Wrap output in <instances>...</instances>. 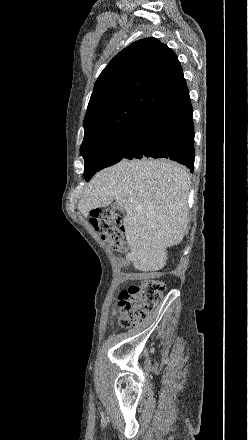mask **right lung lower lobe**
Wrapping results in <instances>:
<instances>
[{"mask_svg": "<svg viewBox=\"0 0 248 440\" xmlns=\"http://www.w3.org/2000/svg\"><path fill=\"white\" fill-rule=\"evenodd\" d=\"M123 159L169 158L194 168V127L189 93L163 104L128 127ZM89 181V180H88Z\"/></svg>", "mask_w": 248, "mask_h": 440, "instance_id": "98d812e1", "label": "right lung lower lobe"}]
</instances>
